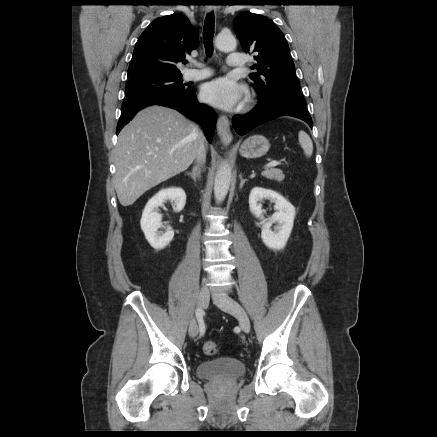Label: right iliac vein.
Here are the masks:
<instances>
[{
	"instance_id": "1",
	"label": "right iliac vein",
	"mask_w": 437,
	"mask_h": 437,
	"mask_svg": "<svg viewBox=\"0 0 437 437\" xmlns=\"http://www.w3.org/2000/svg\"><path fill=\"white\" fill-rule=\"evenodd\" d=\"M209 304V291L206 288H202L197 297V307L198 309H205ZM199 327L195 319L190 322L189 325V335L195 338L198 334Z\"/></svg>"
}]
</instances>
